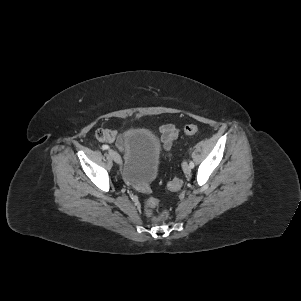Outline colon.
Wrapping results in <instances>:
<instances>
[{"instance_id":"colon-1","label":"colon","mask_w":301,"mask_h":301,"mask_svg":"<svg viewBox=\"0 0 301 301\" xmlns=\"http://www.w3.org/2000/svg\"><path fill=\"white\" fill-rule=\"evenodd\" d=\"M198 130H199L198 126L194 124L187 125L184 128V132L187 135L196 134ZM95 136L99 141H103V142H110L114 139V134L109 130H98ZM181 185H182L181 179L175 177L169 182L168 187L171 191H177L178 189H180ZM158 205H159V200L156 197L153 196L148 197L145 201L146 213L148 215H151L152 209L157 207ZM168 216H169L168 211L162 210L158 215V219L165 220L168 218Z\"/></svg>"}]
</instances>
